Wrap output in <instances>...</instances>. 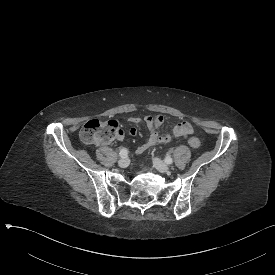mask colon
<instances>
[{"instance_id":"1","label":"colon","mask_w":275,"mask_h":275,"mask_svg":"<svg viewBox=\"0 0 275 275\" xmlns=\"http://www.w3.org/2000/svg\"><path fill=\"white\" fill-rule=\"evenodd\" d=\"M122 128L114 121H100L97 119L88 120L80 130V139L86 144L107 143L120 140ZM192 148L200 147V140L196 137L189 139Z\"/></svg>"}]
</instances>
